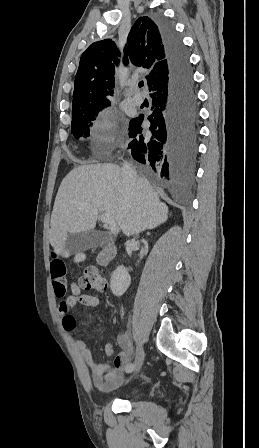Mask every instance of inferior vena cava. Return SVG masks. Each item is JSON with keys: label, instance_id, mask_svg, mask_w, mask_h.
<instances>
[{"label": "inferior vena cava", "instance_id": "602c4592", "mask_svg": "<svg viewBox=\"0 0 259 448\" xmlns=\"http://www.w3.org/2000/svg\"><path fill=\"white\" fill-rule=\"evenodd\" d=\"M136 178L137 174L134 168H132V164L124 162V164H122V182L124 186H126V188H132Z\"/></svg>", "mask_w": 259, "mask_h": 448}]
</instances>
